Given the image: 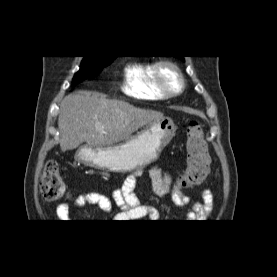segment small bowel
I'll return each instance as SVG.
<instances>
[{
	"label": "small bowel",
	"mask_w": 277,
	"mask_h": 277,
	"mask_svg": "<svg viewBox=\"0 0 277 277\" xmlns=\"http://www.w3.org/2000/svg\"><path fill=\"white\" fill-rule=\"evenodd\" d=\"M149 175L153 191L158 196L169 195L176 205H188L190 207L186 214L188 220L198 222L210 215L213 196L208 189L203 190L201 201H195L184 195L181 184L173 182L171 175L160 167H153ZM137 177L138 173L128 176L122 187L112 193V199L98 192H89L77 195L72 200L73 205L76 208L93 205L103 212L110 213L113 211V204H115L120 209V212L116 214V218L123 220V222H136L145 218L156 220L160 216L159 211L152 206L141 204L134 193ZM56 217L60 222L70 220L72 217L70 204L67 202L59 204L56 208Z\"/></svg>",
	"instance_id": "obj_1"
}]
</instances>
